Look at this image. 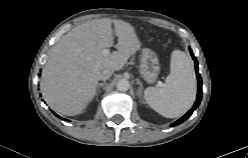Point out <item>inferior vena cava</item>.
I'll list each match as a JSON object with an SVG mask.
<instances>
[{"label":"inferior vena cava","mask_w":248,"mask_h":158,"mask_svg":"<svg viewBox=\"0 0 248 158\" xmlns=\"http://www.w3.org/2000/svg\"><path fill=\"white\" fill-rule=\"evenodd\" d=\"M113 73H114L113 68H106L100 72L99 79L105 81L109 79Z\"/></svg>","instance_id":"602c4592"}]
</instances>
